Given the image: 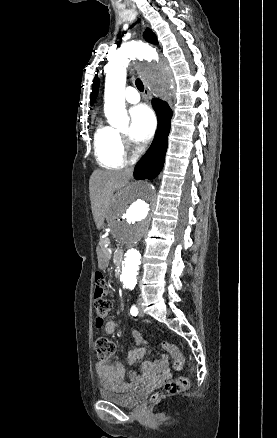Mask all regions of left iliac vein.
<instances>
[{"label": "left iliac vein", "instance_id": "left-iliac-vein-1", "mask_svg": "<svg viewBox=\"0 0 277 438\" xmlns=\"http://www.w3.org/2000/svg\"><path fill=\"white\" fill-rule=\"evenodd\" d=\"M139 316H144L143 309L141 307V300H138Z\"/></svg>", "mask_w": 277, "mask_h": 438}]
</instances>
